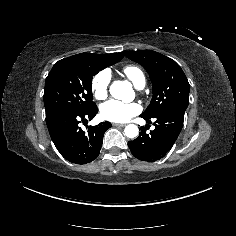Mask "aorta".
Segmentation results:
<instances>
[{
  "label": "aorta",
  "mask_w": 236,
  "mask_h": 236,
  "mask_svg": "<svg viewBox=\"0 0 236 236\" xmlns=\"http://www.w3.org/2000/svg\"><path fill=\"white\" fill-rule=\"evenodd\" d=\"M120 84V81H115L110 87V93L114 96V89ZM124 133L128 138H135L139 134V129L135 124H129L125 127Z\"/></svg>",
  "instance_id": "762f6f07"
}]
</instances>
